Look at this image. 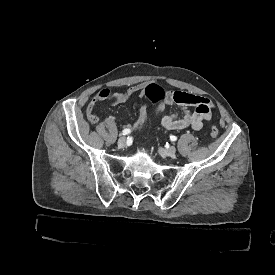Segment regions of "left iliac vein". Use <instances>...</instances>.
I'll list each match as a JSON object with an SVG mask.
<instances>
[{"mask_svg": "<svg viewBox=\"0 0 275 275\" xmlns=\"http://www.w3.org/2000/svg\"><path fill=\"white\" fill-rule=\"evenodd\" d=\"M176 152H177V149L174 146H170L168 149L165 150V153L168 156H175Z\"/></svg>", "mask_w": 275, "mask_h": 275, "instance_id": "obj_1", "label": "left iliac vein"}]
</instances>
